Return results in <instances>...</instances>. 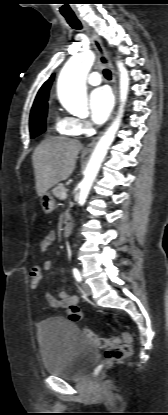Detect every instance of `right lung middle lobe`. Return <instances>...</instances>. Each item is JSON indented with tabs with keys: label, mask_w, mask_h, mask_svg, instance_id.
I'll return each mask as SVG.
<instances>
[{
	"label": "right lung middle lobe",
	"mask_w": 168,
	"mask_h": 415,
	"mask_svg": "<svg viewBox=\"0 0 168 415\" xmlns=\"http://www.w3.org/2000/svg\"><path fill=\"white\" fill-rule=\"evenodd\" d=\"M47 106L31 111L30 134L31 138L38 136L45 131Z\"/></svg>",
	"instance_id": "right-lung-middle-lobe-1"
}]
</instances>
